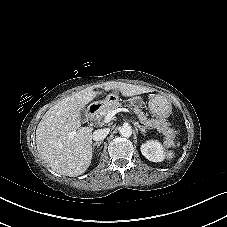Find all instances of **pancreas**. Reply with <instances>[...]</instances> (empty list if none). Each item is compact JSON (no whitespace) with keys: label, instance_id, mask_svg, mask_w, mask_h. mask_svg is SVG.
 Listing matches in <instances>:
<instances>
[{"label":"pancreas","instance_id":"obj_1","mask_svg":"<svg viewBox=\"0 0 227 227\" xmlns=\"http://www.w3.org/2000/svg\"><path fill=\"white\" fill-rule=\"evenodd\" d=\"M122 104L121 103H115L112 105H108V106H104L101 110H100V115L99 117L101 119H105L106 115L110 112L113 111L115 109H117L118 107H121ZM130 107V106H129ZM133 110V112L137 115L139 121L141 124L145 125L147 128H155L157 129L160 133H162L163 135H165V139L168 145H172L173 144V140L175 138V131L173 129H171L168 125V123L160 120V119H148L146 114L139 109L138 107H132L131 108Z\"/></svg>","mask_w":227,"mask_h":227}]
</instances>
